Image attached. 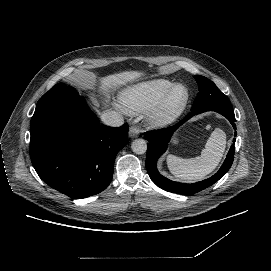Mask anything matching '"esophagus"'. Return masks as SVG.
Instances as JSON below:
<instances>
[{
    "label": "esophagus",
    "instance_id": "obj_1",
    "mask_svg": "<svg viewBox=\"0 0 271 271\" xmlns=\"http://www.w3.org/2000/svg\"><path fill=\"white\" fill-rule=\"evenodd\" d=\"M139 134H140V131L136 126H131L129 128V137L130 138H132V139L137 138L139 136Z\"/></svg>",
    "mask_w": 271,
    "mask_h": 271
}]
</instances>
